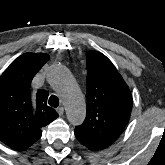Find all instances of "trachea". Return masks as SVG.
I'll return each instance as SVG.
<instances>
[{
    "label": "trachea",
    "mask_w": 165,
    "mask_h": 165,
    "mask_svg": "<svg viewBox=\"0 0 165 165\" xmlns=\"http://www.w3.org/2000/svg\"><path fill=\"white\" fill-rule=\"evenodd\" d=\"M49 105L52 107H58L59 106V99L55 95H51L48 101Z\"/></svg>",
    "instance_id": "1"
}]
</instances>
